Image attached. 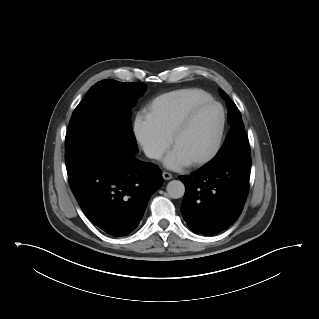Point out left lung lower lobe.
Segmentation results:
<instances>
[{
  "label": "left lung lower lobe",
  "instance_id": "0a47b994",
  "mask_svg": "<svg viewBox=\"0 0 319 319\" xmlns=\"http://www.w3.org/2000/svg\"><path fill=\"white\" fill-rule=\"evenodd\" d=\"M250 171V154L237 153L180 176L186 187L181 213L187 226L211 236L232 225L243 210Z\"/></svg>",
  "mask_w": 319,
  "mask_h": 319
}]
</instances>
